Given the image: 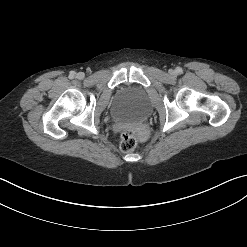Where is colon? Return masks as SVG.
<instances>
[{
	"instance_id": "obj_1",
	"label": "colon",
	"mask_w": 247,
	"mask_h": 247,
	"mask_svg": "<svg viewBox=\"0 0 247 247\" xmlns=\"http://www.w3.org/2000/svg\"><path fill=\"white\" fill-rule=\"evenodd\" d=\"M137 146V138L133 131L126 130L121 135L119 148L122 152H131Z\"/></svg>"
}]
</instances>
